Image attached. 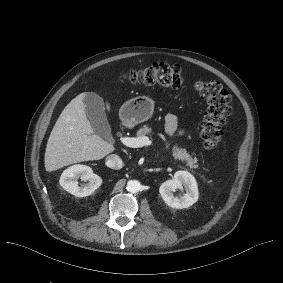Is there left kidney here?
I'll return each mask as SVG.
<instances>
[{
  "instance_id": "left-kidney-1",
  "label": "left kidney",
  "mask_w": 283,
  "mask_h": 283,
  "mask_svg": "<svg viewBox=\"0 0 283 283\" xmlns=\"http://www.w3.org/2000/svg\"><path fill=\"white\" fill-rule=\"evenodd\" d=\"M183 187L186 193L181 197L175 196L174 192ZM159 192L165 203L176 209L188 208L199 198L197 182L188 171H177L173 179L161 184Z\"/></svg>"
}]
</instances>
